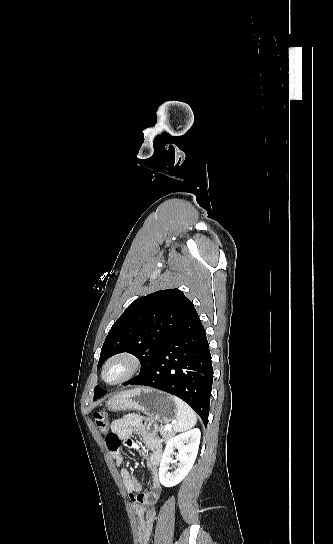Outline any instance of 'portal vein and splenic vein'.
Returning a JSON list of instances; mask_svg holds the SVG:
<instances>
[{"instance_id":"portal-vein-and-splenic-vein-1","label":"portal vein and splenic vein","mask_w":333,"mask_h":544,"mask_svg":"<svg viewBox=\"0 0 333 544\" xmlns=\"http://www.w3.org/2000/svg\"><path fill=\"white\" fill-rule=\"evenodd\" d=\"M172 429V424H167L164 428L165 431H169Z\"/></svg>"}]
</instances>
